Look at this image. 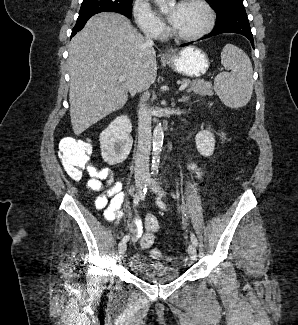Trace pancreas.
Returning <instances> with one entry per match:
<instances>
[{
	"instance_id": "pancreas-1",
	"label": "pancreas",
	"mask_w": 298,
	"mask_h": 325,
	"mask_svg": "<svg viewBox=\"0 0 298 325\" xmlns=\"http://www.w3.org/2000/svg\"><path fill=\"white\" fill-rule=\"evenodd\" d=\"M182 84H189L187 92L192 94H200V96H212L214 88L211 82H204V80H190V78H182Z\"/></svg>"
}]
</instances>
